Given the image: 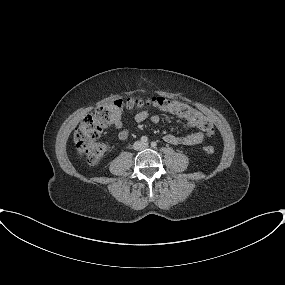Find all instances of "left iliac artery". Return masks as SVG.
<instances>
[{
  "label": "left iliac artery",
  "mask_w": 285,
  "mask_h": 285,
  "mask_svg": "<svg viewBox=\"0 0 285 285\" xmlns=\"http://www.w3.org/2000/svg\"><path fill=\"white\" fill-rule=\"evenodd\" d=\"M151 146H152L153 148H155V147L157 146V143H156V142H152V143H151Z\"/></svg>",
  "instance_id": "left-iliac-artery-1"
}]
</instances>
